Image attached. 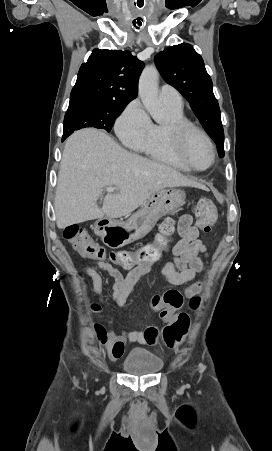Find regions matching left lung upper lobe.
<instances>
[{
    "label": "left lung upper lobe",
    "mask_w": 272,
    "mask_h": 451,
    "mask_svg": "<svg viewBox=\"0 0 272 451\" xmlns=\"http://www.w3.org/2000/svg\"><path fill=\"white\" fill-rule=\"evenodd\" d=\"M155 63L167 83L189 101L200 123L215 141L219 156L224 157L220 109L202 57L192 45L182 43L158 53Z\"/></svg>",
    "instance_id": "left-lung-upper-lobe-1"
}]
</instances>
